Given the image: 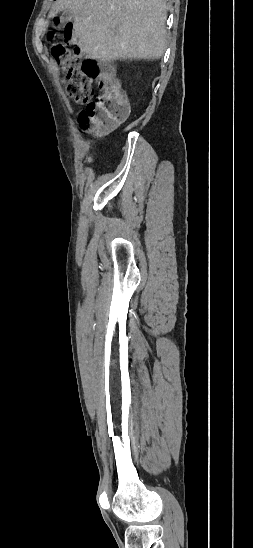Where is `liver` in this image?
I'll list each match as a JSON object with an SVG mask.
<instances>
[{"instance_id": "obj_1", "label": "liver", "mask_w": 253, "mask_h": 548, "mask_svg": "<svg viewBox=\"0 0 253 548\" xmlns=\"http://www.w3.org/2000/svg\"><path fill=\"white\" fill-rule=\"evenodd\" d=\"M66 10L73 43L89 58L157 59L166 50L164 0H56L50 15Z\"/></svg>"}]
</instances>
